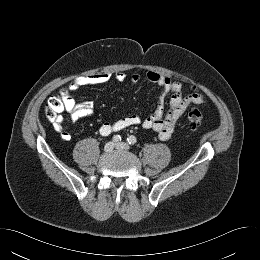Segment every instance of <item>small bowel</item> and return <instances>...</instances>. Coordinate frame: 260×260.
I'll list each match as a JSON object with an SVG mask.
<instances>
[{"label": "small bowel", "mask_w": 260, "mask_h": 260, "mask_svg": "<svg viewBox=\"0 0 260 260\" xmlns=\"http://www.w3.org/2000/svg\"><path fill=\"white\" fill-rule=\"evenodd\" d=\"M111 78L112 74L108 72H98L78 76L73 80L64 98L65 109L70 114L72 122L90 117L94 113V108L92 103L88 101L77 103L71 92L82 86L106 83ZM114 78L119 82H123L127 79V76L123 72H117ZM140 79L141 77L138 73H133L129 77V80L134 84L138 83ZM146 80L161 88V92L156 100L155 110L145 118H141L138 115H128L112 123L105 122L99 127L100 135L108 136L129 126L141 125L144 129L155 131L161 140H167L172 136L177 122L183 116L188 106L206 102L204 94L199 89L193 88L190 93L184 94L183 84L167 75L150 71L146 74ZM167 97H169L168 110L165 111ZM56 129L61 134L63 140L70 141L72 139L71 134L63 129L61 120L57 122Z\"/></svg>", "instance_id": "c3829d8e"}]
</instances>
